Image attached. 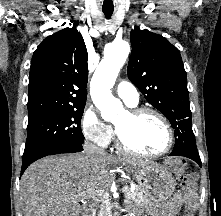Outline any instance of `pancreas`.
I'll use <instances>...</instances> for the list:
<instances>
[{
  "mask_svg": "<svg viewBox=\"0 0 221 216\" xmlns=\"http://www.w3.org/2000/svg\"><path fill=\"white\" fill-rule=\"evenodd\" d=\"M126 205H144L148 204L149 200L142 194L140 188L135 186V190L124 192ZM89 216H112L111 207L109 204L102 203L97 213H92Z\"/></svg>",
  "mask_w": 221,
  "mask_h": 216,
  "instance_id": "pancreas-1",
  "label": "pancreas"
}]
</instances>
